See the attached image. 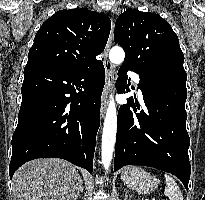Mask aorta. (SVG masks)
<instances>
[{"label": "aorta", "instance_id": "aorta-1", "mask_svg": "<svg viewBox=\"0 0 205 200\" xmlns=\"http://www.w3.org/2000/svg\"><path fill=\"white\" fill-rule=\"evenodd\" d=\"M125 57L124 50L120 46H114L109 52V60L114 65H119ZM117 133V112L112 95L108 103V108L103 125L102 133V165L106 171L109 170L113 157L114 145Z\"/></svg>", "mask_w": 205, "mask_h": 200}]
</instances>
